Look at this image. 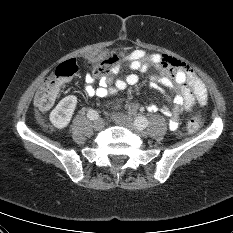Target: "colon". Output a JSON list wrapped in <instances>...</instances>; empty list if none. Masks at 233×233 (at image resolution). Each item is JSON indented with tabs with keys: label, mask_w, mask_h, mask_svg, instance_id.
I'll list each match as a JSON object with an SVG mask.
<instances>
[{
	"label": "colon",
	"mask_w": 233,
	"mask_h": 233,
	"mask_svg": "<svg viewBox=\"0 0 233 233\" xmlns=\"http://www.w3.org/2000/svg\"><path fill=\"white\" fill-rule=\"evenodd\" d=\"M118 61V56H111L94 69V74L104 75L110 73ZM77 71V62L76 60L71 59L61 63L56 68L54 74L44 81L41 87L37 90L34 97V104L40 112H46L53 106L62 83L66 79L72 77ZM200 126V118L193 116L188 121L187 129L189 132L193 133L196 132Z\"/></svg>",
	"instance_id": "obj_1"
}]
</instances>
